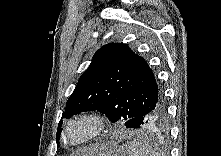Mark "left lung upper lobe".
Here are the masks:
<instances>
[{
  "label": "left lung upper lobe",
  "mask_w": 221,
  "mask_h": 156,
  "mask_svg": "<svg viewBox=\"0 0 221 156\" xmlns=\"http://www.w3.org/2000/svg\"><path fill=\"white\" fill-rule=\"evenodd\" d=\"M161 96L144 58L126 44L110 43L98 49L81 75L62 118L97 110L111 122H126L155 107Z\"/></svg>",
  "instance_id": "1"
}]
</instances>
